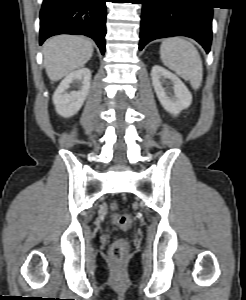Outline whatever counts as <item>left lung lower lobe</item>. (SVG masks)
<instances>
[{
    "instance_id": "1",
    "label": "left lung lower lobe",
    "mask_w": 246,
    "mask_h": 300,
    "mask_svg": "<svg viewBox=\"0 0 246 300\" xmlns=\"http://www.w3.org/2000/svg\"><path fill=\"white\" fill-rule=\"evenodd\" d=\"M143 4L139 49L150 41L187 36L208 53L212 40L213 7L208 0H141Z\"/></svg>"
}]
</instances>
